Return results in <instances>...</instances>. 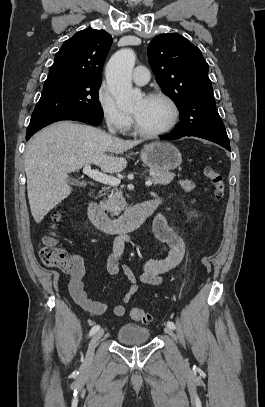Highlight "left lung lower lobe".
Segmentation results:
<instances>
[{"instance_id": "1", "label": "left lung lower lobe", "mask_w": 265, "mask_h": 407, "mask_svg": "<svg viewBox=\"0 0 265 407\" xmlns=\"http://www.w3.org/2000/svg\"><path fill=\"white\" fill-rule=\"evenodd\" d=\"M184 136H190V135H175V134L171 133L169 135L162 136L161 139H163V140L178 139V138H181V137H184ZM217 144L221 145L222 147H224V148H226L227 150L230 151V144H224V143H217Z\"/></svg>"}]
</instances>
